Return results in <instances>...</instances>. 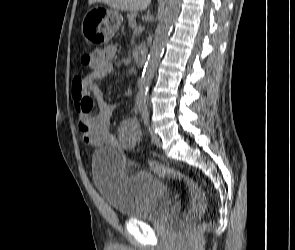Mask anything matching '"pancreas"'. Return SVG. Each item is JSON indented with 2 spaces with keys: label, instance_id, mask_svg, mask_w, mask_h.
Masks as SVG:
<instances>
[{
  "label": "pancreas",
  "instance_id": "obj_1",
  "mask_svg": "<svg viewBox=\"0 0 295 250\" xmlns=\"http://www.w3.org/2000/svg\"><path fill=\"white\" fill-rule=\"evenodd\" d=\"M137 17V13L136 12H130L128 15H127V18H128V22H129V25L135 21Z\"/></svg>",
  "mask_w": 295,
  "mask_h": 250
}]
</instances>
